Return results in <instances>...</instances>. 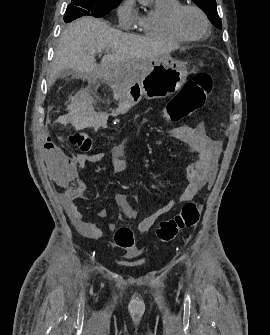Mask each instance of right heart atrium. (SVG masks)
Here are the masks:
<instances>
[{"label": "right heart atrium", "instance_id": "1", "mask_svg": "<svg viewBox=\"0 0 270 335\" xmlns=\"http://www.w3.org/2000/svg\"><path fill=\"white\" fill-rule=\"evenodd\" d=\"M137 13L135 0H123L118 7V18L124 28H129L135 23Z\"/></svg>", "mask_w": 270, "mask_h": 335}]
</instances>
